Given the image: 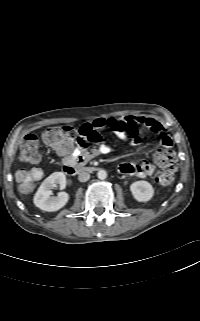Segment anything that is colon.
Here are the masks:
<instances>
[{"mask_svg": "<svg viewBox=\"0 0 200 321\" xmlns=\"http://www.w3.org/2000/svg\"><path fill=\"white\" fill-rule=\"evenodd\" d=\"M44 142L59 151L68 150L69 146L76 142L80 148H85L89 143H98L102 140L101 134L96 130L81 127L75 129L70 126H54L43 133ZM39 141L34 134L24 137L20 147V159L24 162L35 164L39 161ZM159 169L156 173V181L160 185H169L173 182L177 171V159L171 150H166L156 157ZM41 170L37 167L22 168L17 172V180L24 191L33 189L35 183L41 177Z\"/></svg>", "mask_w": 200, "mask_h": 321, "instance_id": "5ec220e1", "label": "colon"}]
</instances>
